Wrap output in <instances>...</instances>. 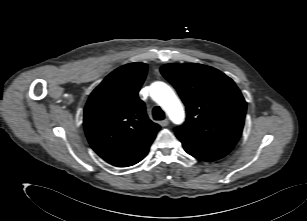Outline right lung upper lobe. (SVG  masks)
<instances>
[{"label": "right lung upper lobe", "instance_id": "1", "mask_svg": "<svg viewBox=\"0 0 307 221\" xmlns=\"http://www.w3.org/2000/svg\"><path fill=\"white\" fill-rule=\"evenodd\" d=\"M145 63H130L111 72L91 93L84 109V129L94 151L118 167L135 164L153 142L160 126L146 114L138 92Z\"/></svg>", "mask_w": 307, "mask_h": 221}]
</instances>
